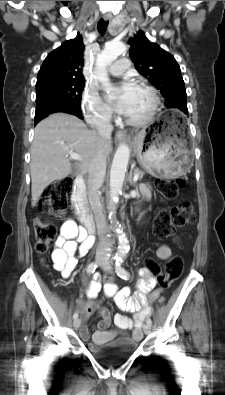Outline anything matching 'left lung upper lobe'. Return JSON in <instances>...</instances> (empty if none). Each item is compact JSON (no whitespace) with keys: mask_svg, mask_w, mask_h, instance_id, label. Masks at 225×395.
<instances>
[{"mask_svg":"<svg viewBox=\"0 0 225 395\" xmlns=\"http://www.w3.org/2000/svg\"><path fill=\"white\" fill-rule=\"evenodd\" d=\"M128 44L131 46L130 58L135 68L160 90L165 98V106L188 114L184 81L175 58L150 42L142 31L129 39Z\"/></svg>","mask_w":225,"mask_h":395,"instance_id":"obj_1","label":"left lung upper lobe"}]
</instances>
